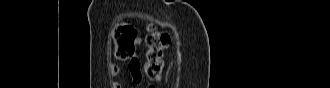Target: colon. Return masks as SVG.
<instances>
[{
	"label": "colon",
	"instance_id": "colon-1",
	"mask_svg": "<svg viewBox=\"0 0 330 88\" xmlns=\"http://www.w3.org/2000/svg\"><path fill=\"white\" fill-rule=\"evenodd\" d=\"M135 30L126 24L118 25L113 31V42L115 55L123 60H130L133 67L137 60L134 58L135 51ZM170 43V37L166 32L157 30L154 27L149 29L145 37L146 60L143 65L144 76L150 81H159L162 77L164 60L163 52Z\"/></svg>",
	"mask_w": 330,
	"mask_h": 88
}]
</instances>
